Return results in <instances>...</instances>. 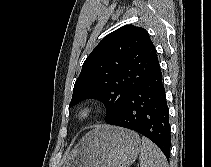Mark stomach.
Segmentation results:
<instances>
[{
  "label": "stomach",
  "mask_w": 211,
  "mask_h": 167,
  "mask_svg": "<svg viewBox=\"0 0 211 167\" xmlns=\"http://www.w3.org/2000/svg\"><path fill=\"white\" fill-rule=\"evenodd\" d=\"M142 148L139 135L116 126L89 131L67 155L63 167H129Z\"/></svg>",
  "instance_id": "1"
}]
</instances>
